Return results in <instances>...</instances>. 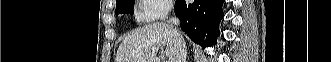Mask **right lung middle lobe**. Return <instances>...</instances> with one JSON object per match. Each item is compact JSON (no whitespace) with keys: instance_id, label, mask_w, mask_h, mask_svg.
<instances>
[{"instance_id":"obj_1","label":"right lung middle lobe","mask_w":331,"mask_h":62,"mask_svg":"<svg viewBox=\"0 0 331 62\" xmlns=\"http://www.w3.org/2000/svg\"><path fill=\"white\" fill-rule=\"evenodd\" d=\"M134 7V1L132 0H120L116 3L115 13L118 14H132V9Z\"/></svg>"}]
</instances>
